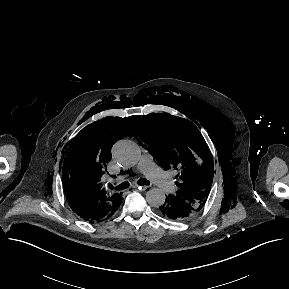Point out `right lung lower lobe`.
<instances>
[{"label":"right lung lower lobe","mask_w":289,"mask_h":289,"mask_svg":"<svg viewBox=\"0 0 289 289\" xmlns=\"http://www.w3.org/2000/svg\"><path fill=\"white\" fill-rule=\"evenodd\" d=\"M116 211V210H115ZM114 211V212H115ZM114 212H112V213H110L106 218H104L103 220H105V219H108ZM102 221V220H101Z\"/></svg>","instance_id":"98d812e1"}]
</instances>
